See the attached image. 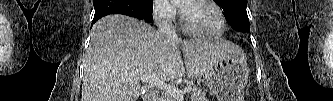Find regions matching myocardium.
Masks as SVG:
<instances>
[{"label":"myocardium","instance_id":"f54148a6","mask_svg":"<svg viewBox=\"0 0 333 101\" xmlns=\"http://www.w3.org/2000/svg\"><path fill=\"white\" fill-rule=\"evenodd\" d=\"M185 2H190V3L203 2V3L209 4L210 6H212L215 9V11L217 12V14L220 18V27L216 32H214V33L198 32V31H196V30H194L193 28L190 27V25L187 21L186 15L184 13L183 2H182V5L180 6L181 26H182L183 30L186 33H188L192 36L201 37V38H216V37H219L220 35L223 34V32L226 29V18H225V15H224L222 9L214 1H211V0H193V1H185Z\"/></svg>","mask_w":333,"mask_h":101}]
</instances>
